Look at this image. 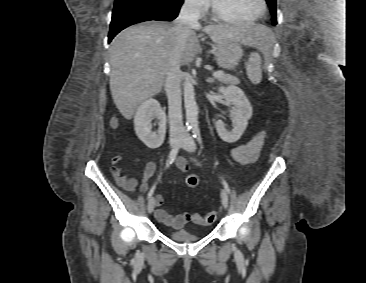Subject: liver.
I'll use <instances>...</instances> for the list:
<instances>
[{"label": "liver", "mask_w": 366, "mask_h": 283, "mask_svg": "<svg viewBox=\"0 0 366 283\" xmlns=\"http://www.w3.org/2000/svg\"><path fill=\"white\" fill-rule=\"evenodd\" d=\"M174 23L147 21L128 27L118 33L110 46V90L113 101L126 118L131 119L137 106L162 90L170 58L175 53L176 35ZM194 29L186 34L181 49L180 65H189L201 52ZM203 32L213 43L237 41L243 45L264 50L271 31L259 25H209Z\"/></svg>", "instance_id": "1"}]
</instances>
